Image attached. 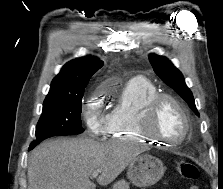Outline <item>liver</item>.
I'll list each match as a JSON object with an SVG mask.
<instances>
[{"label":"liver","instance_id":"obj_1","mask_svg":"<svg viewBox=\"0 0 223 189\" xmlns=\"http://www.w3.org/2000/svg\"><path fill=\"white\" fill-rule=\"evenodd\" d=\"M138 145L99 143L90 138H61L37 146L28 162V189H95L90 181L99 170V185L106 186L141 153Z\"/></svg>","mask_w":223,"mask_h":189}]
</instances>
